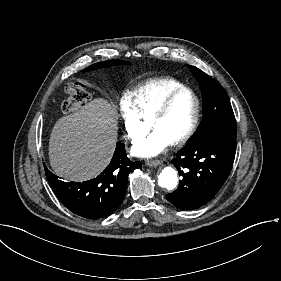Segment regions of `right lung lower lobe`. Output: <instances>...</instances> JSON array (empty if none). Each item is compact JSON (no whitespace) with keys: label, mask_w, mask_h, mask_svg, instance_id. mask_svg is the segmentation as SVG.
Returning a JSON list of instances; mask_svg holds the SVG:
<instances>
[{"label":"right lung lower lobe","mask_w":281,"mask_h":281,"mask_svg":"<svg viewBox=\"0 0 281 281\" xmlns=\"http://www.w3.org/2000/svg\"><path fill=\"white\" fill-rule=\"evenodd\" d=\"M140 166L125 154L124 144L117 143L114 156L105 170L84 182H64L47 168L46 177L61 202L74 214L99 219L114 213L122 203L129 173Z\"/></svg>","instance_id":"right-lung-lower-lobe-1"}]
</instances>
